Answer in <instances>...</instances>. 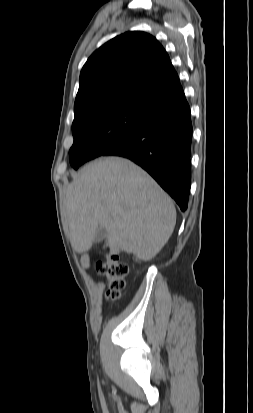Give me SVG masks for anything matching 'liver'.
Segmentation results:
<instances>
[{"label":"liver","instance_id":"6515ba94","mask_svg":"<svg viewBox=\"0 0 253 413\" xmlns=\"http://www.w3.org/2000/svg\"><path fill=\"white\" fill-rule=\"evenodd\" d=\"M65 214L74 250L91 249L98 227L113 253L154 258L170 238L176 210L170 197L139 166L120 157L86 165L67 189Z\"/></svg>","mask_w":253,"mask_h":413}]
</instances>
